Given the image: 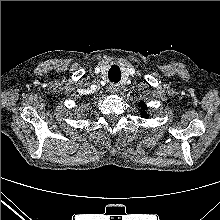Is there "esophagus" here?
Instances as JSON below:
<instances>
[{"label": "esophagus", "mask_w": 220, "mask_h": 220, "mask_svg": "<svg viewBox=\"0 0 220 220\" xmlns=\"http://www.w3.org/2000/svg\"><path fill=\"white\" fill-rule=\"evenodd\" d=\"M109 89H110L111 93L115 94V93H117L119 91V85L112 83L110 85Z\"/></svg>", "instance_id": "1"}]
</instances>
